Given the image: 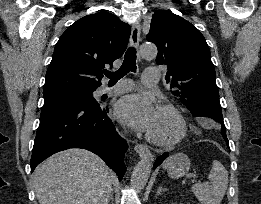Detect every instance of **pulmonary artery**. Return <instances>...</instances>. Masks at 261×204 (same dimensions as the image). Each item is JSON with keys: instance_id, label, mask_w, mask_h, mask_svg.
Masks as SVG:
<instances>
[{"instance_id": "obj_1", "label": "pulmonary artery", "mask_w": 261, "mask_h": 204, "mask_svg": "<svg viewBox=\"0 0 261 204\" xmlns=\"http://www.w3.org/2000/svg\"><path fill=\"white\" fill-rule=\"evenodd\" d=\"M159 70L156 67H150L145 69L142 80L147 85H155L159 81ZM134 84L131 80H122L113 87L103 86L100 90V94H121L130 91Z\"/></svg>"}]
</instances>
